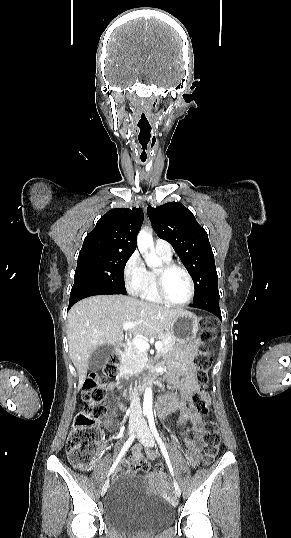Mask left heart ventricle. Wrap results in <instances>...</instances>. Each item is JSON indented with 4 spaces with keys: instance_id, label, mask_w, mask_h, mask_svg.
Listing matches in <instances>:
<instances>
[{
    "instance_id": "b2bd125f",
    "label": "left heart ventricle",
    "mask_w": 291,
    "mask_h": 538,
    "mask_svg": "<svg viewBox=\"0 0 291 538\" xmlns=\"http://www.w3.org/2000/svg\"><path fill=\"white\" fill-rule=\"evenodd\" d=\"M165 291L169 299L175 302L185 300L189 294V283L183 272L173 270L164 280Z\"/></svg>"
}]
</instances>
